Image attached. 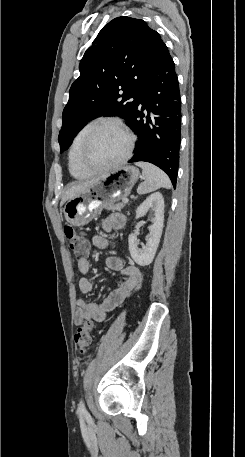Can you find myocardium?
Masks as SVG:
<instances>
[{
	"label": "myocardium",
	"instance_id": "obj_1",
	"mask_svg": "<svg viewBox=\"0 0 245 457\" xmlns=\"http://www.w3.org/2000/svg\"><path fill=\"white\" fill-rule=\"evenodd\" d=\"M105 128H112L120 133H122L126 138H127V146L125 151L117 158L115 159L111 164L102 167V168H91L90 166L87 165L85 161V153L92 143L94 137L103 129ZM135 146V137L132 134V132L122 123L118 121H113V120H103L100 122H97L86 134L83 144L80 147L77 155V160L79 163V166L84 170L88 175H96L102 172H107L111 171L118 166H120L122 163H124L130 156L131 153L134 149Z\"/></svg>",
	"mask_w": 245,
	"mask_h": 457
}]
</instances>
